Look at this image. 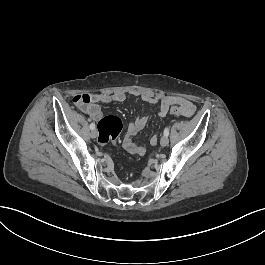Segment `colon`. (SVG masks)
<instances>
[{
  "label": "colon",
  "mask_w": 265,
  "mask_h": 265,
  "mask_svg": "<svg viewBox=\"0 0 265 265\" xmlns=\"http://www.w3.org/2000/svg\"><path fill=\"white\" fill-rule=\"evenodd\" d=\"M90 104V97L87 94H79L73 95L70 98V105L73 108H80V107H87ZM170 111L178 115L179 113H186L182 112L181 108L178 105L172 106V102H169ZM123 129V122L122 120L114 115H105L101 120L98 122L97 125V141L101 146H105L110 142L115 141L119 136Z\"/></svg>",
  "instance_id": "obj_1"
}]
</instances>
